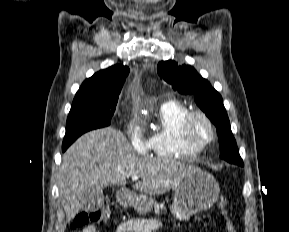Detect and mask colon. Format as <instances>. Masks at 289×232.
I'll list each match as a JSON object with an SVG mask.
<instances>
[{"instance_id":"obj_1","label":"colon","mask_w":289,"mask_h":232,"mask_svg":"<svg viewBox=\"0 0 289 232\" xmlns=\"http://www.w3.org/2000/svg\"><path fill=\"white\" fill-rule=\"evenodd\" d=\"M218 207L221 211V214L225 220L227 232H237L235 223L230 217L227 207L228 199L224 196L220 197L218 200ZM110 216V210L108 206H104L99 210H94L91 212H81L79 213L72 225L71 229L75 230L84 226H87L89 223L101 224Z\"/></svg>"}]
</instances>
